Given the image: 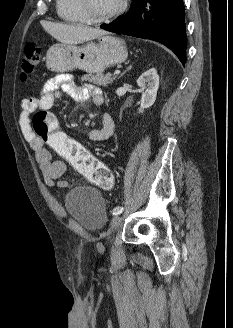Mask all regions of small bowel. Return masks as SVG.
Returning <instances> with one entry per match:
<instances>
[{
	"mask_svg": "<svg viewBox=\"0 0 233 328\" xmlns=\"http://www.w3.org/2000/svg\"><path fill=\"white\" fill-rule=\"evenodd\" d=\"M62 92L76 101L92 99L96 105L103 103V94L99 87L92 84L77 85L73 78L67 74H60L49 79L38 97L24 98L21 102V113L19 125L25 139L29 142L35 152L36 160L40 165L44 182L50 187H67L68 182L59 180L67 170L66 164L61 160L53 158L51 152L46 148L45 142L35 136L31 129V117L37 110H49ZM114 132V122L111 116L105 113L102 117L101 127L89 132V138L96 142L109 140Z\"/></svg>",
	"mask_w": 233,
	"mask_h": 328,
	"instance_id": "c3829d8e",
	"label": "small bowel"
}]
</instances>
